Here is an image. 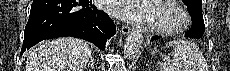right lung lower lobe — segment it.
Wrapping results in <instances>:
<instances>
[{"instance_id":"98d812e1","label":"right lung lower lobe","mask_w":230,"mask_h":71,"mask_svg":"<svg viewBox=\"0 0 230 71\" xmlns=\"http://www.w3.org/2000/svg\"><path fill=\"white\" fill-rule=\"evenodd\" d=\"M116 33L110 17L92 5V0H33L24 31L21 54L44 39L71 36L105 49Z\"/></svg>"}]
</instances>
